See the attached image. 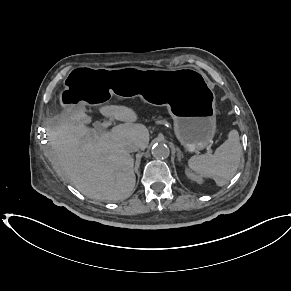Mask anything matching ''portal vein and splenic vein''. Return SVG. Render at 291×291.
<instances>
[{
	"label": "portal vein and splenic vein",
	"instance_id": "portal-vein-and-splenic-vein-1",
	"mask_svg": "<svg viewBox=\"0 0 291 291\" xmlns=\"http://www.w3.org/2000/svg\"><path fill=\"white\" fill-rule=\"evenodd\" d=\"M108 127V123L104 122V123H101L100 125H96L95 127V131H97L98 133H101V132H106L105 130L107 129ZM209 153L211 151H208Z\"/></svg>",
	"mask_w": 291,
	"mask_h": 291
}]
</instances>
